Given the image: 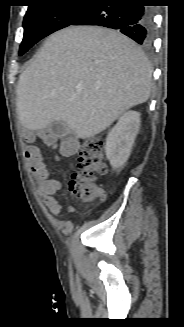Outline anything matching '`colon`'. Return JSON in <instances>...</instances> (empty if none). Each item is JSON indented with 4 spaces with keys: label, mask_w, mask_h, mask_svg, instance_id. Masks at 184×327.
Returning <instances> with one entry per match:
<instances>
[{
    "label": "colon",
    "mask_w": 184,
    "mask_h": 327,
    "mask_svg": "<svg viewBox=\"0 0 184 327\" xmlns=\"http://www.w3.org/2000/svg\"><path fill=\"white\" fill-rule=\"evenodd\" d=\"M106 167L103 162V144L98 138L84 141L78 155V171L72 174L70 190L84 202H93L103 196L96 183V177L103 175Z\"/></svg>",
    "instance_id": "5ec220e1"
}]
</instances>
